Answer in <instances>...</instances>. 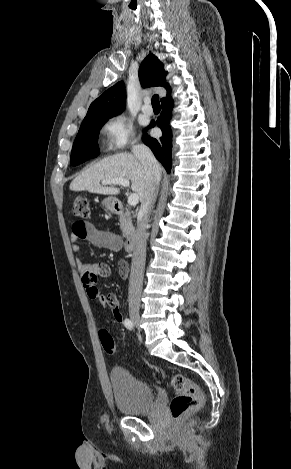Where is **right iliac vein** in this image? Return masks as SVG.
<instances>
[{"label": "right iliac vein", "mask_w": 291, "mask_h": 469, "mask_svg": "<svg viewBox=\"0 0 291 469\" xmlns=\"http://www.w3.org/2000/svg\"><path fill=\"white\" fill-rule=\"evenodd\" d=\"M129 315H130V318H131L132 322L134 323V325H136L138 327L140 325L139 308L137 306H130L129 307Z\"/></svg>", "instance_id": "1"}]
</instances>
